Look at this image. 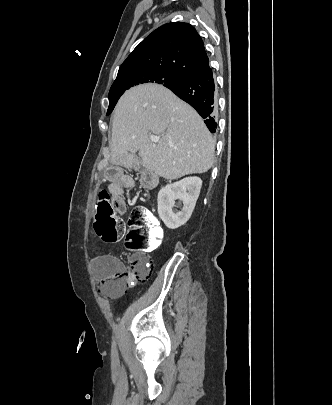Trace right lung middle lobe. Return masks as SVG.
Instances as JSON below:
<instances>
[{
    "instance_id": "1",
    "label": "right lung middle lobe",
    "mask_w": 332,
    "mask_h": 405,
    "mask_svg": "<svg viewBox=\"0 0 332 405\" xmlns=\"http://www.w3.org/2000/svg\"><path fill=\"white\" fill-rule=\"evenodd\" d=\"M184 77L178 74L144 70L133 71L117 76L109 92V107L106 115L114 109L120 96L130 87L143 83H158L165 87L175 84Z\"/></svg>"
}]
</instances>
